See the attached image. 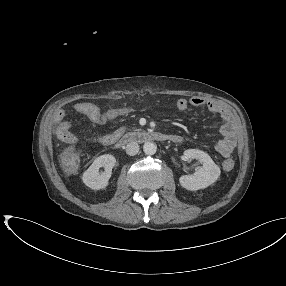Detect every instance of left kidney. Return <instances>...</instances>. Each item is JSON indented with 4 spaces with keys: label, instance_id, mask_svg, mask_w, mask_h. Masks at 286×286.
Returning <instances> with one entry per match:
<instances>
[{
    "label": "left kidney",
    "instance_id": "5707ae66",
    "mask_svg": "<svg viewBox=\"0 0 286 286\" xmlns=\"http://www.w3.org/2000/svg\"><path fill=\"white\" fill-rule=\"evenodd\" d=\"M187 159H196L201 164L192 175H183L179 178L180 185L187 190L196 191L204 189L213 184L220 176V168L214 163L211 157L204 151L188 149L184 151Z\"/></svg>",
    "mask_w": 286,
    "mask_h": 286
}]
</instances>
